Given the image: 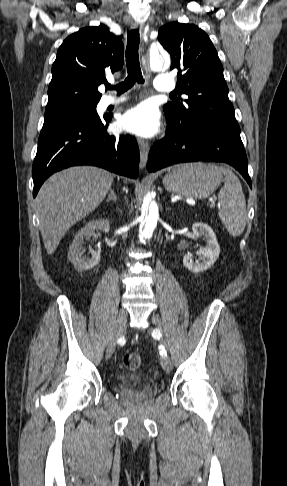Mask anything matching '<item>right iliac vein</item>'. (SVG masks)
<instances>
[{
  "instance_id": "right-iliac-vein-1",
  "label": "right iliac vein",
  "mask_w": 287,
  "mask_h": 486,
  "mask_svg": "<svg viewBox=\"0 0 287 486\" xmlns=\"http://www.w3.org/2000/svg\"><path fill=\"white\" fill-rule=\"evenodd\" d=\"M126 322H127V312L124 309H121L118 315L117 323L115 325V328L112 332V335L110 337L108 347L106 350V358L109 359L115 348L118 339L123 335L125 328H126Z\"/></svg>"
}]
</instances>
